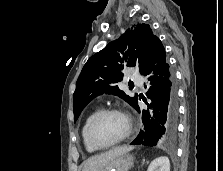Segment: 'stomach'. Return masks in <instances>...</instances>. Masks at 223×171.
I'll use <instances>...</instances> for the list:
<instances>
[{"label":"stomach","mask_w":223,"mask_h":171,"mask_svg":"<svg viewBox=\"0 0 223 171\" xmlns=\"http://www.w3.org/2000/svg\"><path fill=\"white\" fill-rule=\"evenodd\" d=\"M133 165V157L127 153L117 156L99 171H129Z\"/></svg>","instance_id":"stomach-1"}]
</instances>
